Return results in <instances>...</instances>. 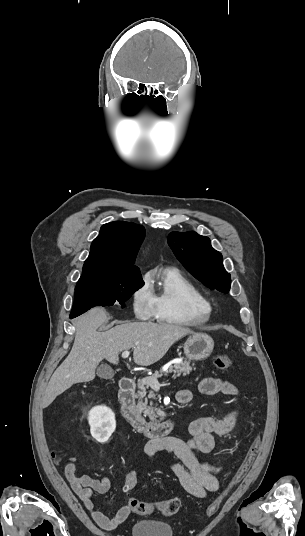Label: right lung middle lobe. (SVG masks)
I'll return each instance as SVG.
<instances>
[{
  "instance_id": "1",
  "label": "right lung middle lobe",
  "mask_w": 305,
  "mask_h": 536,
  "mask_svg": "<svg viewBox=\"0 0 305 536\" xmlns=\"http://www.w3.org/2000/svg\"><path fill=\"white\" fill-rule=\"evenodd\" d=\"M143 285L142 277L106 279L81 277L75 287L71 314L78 316L92 307L112 306L115 302L124 307V302Z\"/></svg>"
}]
</instances>
